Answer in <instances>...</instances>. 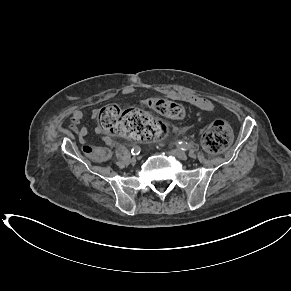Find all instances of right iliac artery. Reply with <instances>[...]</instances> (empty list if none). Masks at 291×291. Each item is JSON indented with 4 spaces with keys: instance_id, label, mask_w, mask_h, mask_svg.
<instances>
[{
    "instance_id": "obj_1",
    "label": "right iliac artery",
    "mask_w": 291,
    "mask_h": 291,
    "mask_svg": "<svg viewBox=\"0 0 291 291\" xmlns=\"http://www.w3.org/2000/svg\"><path fill=\"white\" fill-rule=\"evenodd\" d=\"M141 151V148L139 146H135L132 150L131 153L132 155H138Z\"/></svg>"
}]
</instances>
